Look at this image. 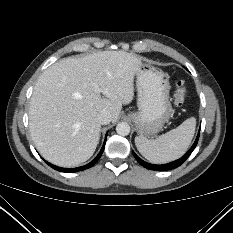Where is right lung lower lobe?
I'll use <instances>...</instances> for the list:
<instances>
[{"mask_svg":"<svg viewBox=\"0 0 233 233\" xmlns=\"http://www.w3.org/2000/svg\"><path fill=\"white\" fill-rule=\"evenodd\" d=\"M106 137H107V134H106ZM105 142H106V138L104 140V144H103L99 154L90 163H88L87 165L77 167V168H62V167H58V166H55L53 164H50L48 162H46V163L49 166H51L53 169L61 171V172H65V173H74V172H78V171L88 169V168L92 167L100 159V157H101V155H102V153L104 151V148H105Z\"/></svg>","mask_w":233,"mask_h":233,"instance_id":"98d812e1","label":"right lung lower lobe"}]
</instances>
